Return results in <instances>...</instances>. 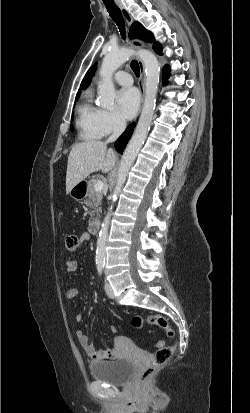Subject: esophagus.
Wrapping results in <instances>:
<instances>
[{"label":"esophagus","instance_id":"esophagus-1","mask_svg":"<svg viewBox=\"0 0 250 413\" xmlns=\"http://www.w3.org/2000/svg\"><path fill=\"white\" fill-rule=\"evenodd\" d=\"M118 6L121 10V13H122L123 17L125 18V20L128 24V26H131L132 23H133V19H132L130 13L128 12V10L122 4H118ZM132 44L136 48H143L145 46L144 42L139 40V39H133ZM138 63H139V67H140L139 87H140V90L142 92V101H143L144 100L145 67H144L143 61L140 58H138Z\"/></svg>","mask_w":250,"mask_h":413}]
</instances>
